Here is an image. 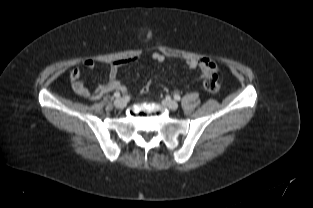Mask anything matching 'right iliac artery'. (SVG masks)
<instances>
[{"label": "right iliac artery", "instance_id": "obj_1", "mask_svg": "<svg viewBox=\"0 0 313 208\" xmlns=\"http://www.w3.org/2000/svg\"><path fill=\"white\" fill-rule=\"evenodd\" d=\"M120 96H121V94H120L119 92H115V93H114V97H115V98H120Z\"/></svg>", "mask_w": 313, "mask_h": 208}]
</instances>
